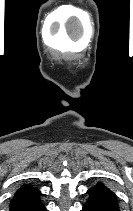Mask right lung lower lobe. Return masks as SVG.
Here are the masks:
<instances>
[{
  "label": "right lung lower lobe",
  "instance_id": "1",
  "mask_svg": "<svg viewBox=\"0 0 133 211\" xmlns=\"http://www.w3.org/2000/svg\"><path fill=\"white\" fill-rule=\"evenodd\" d=\"M10 211H47V210L45 206L42 204L41 200L39 199L33 203L10 209Z\"/></svg>",
  "mask_w": 133,
  "mask_h": 211
}]
</instances>
